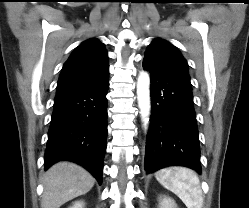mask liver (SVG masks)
Segmentation results:
<instances>
[{
    "label": "liver",
    "mask_w": 249,
    "mask_h": 208,
    "mask_svg": "<svg viewBox=\"0 0 249 208\" xmlns=\"http://www.w3.org/2000/svg\"><path fill=\"white\" fill-rule=\"evenodd\" d=\"M44 192L42 208H59L66 202L86 194L95 179L81 166L61 161L53 165L42 179Z\"/></svg>",
    "instance_id": "1"
}]
</instances>
